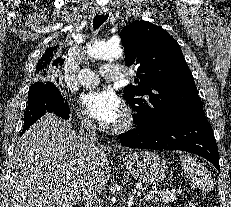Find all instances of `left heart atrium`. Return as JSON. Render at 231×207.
<instances>
[{"label":"left heart atrium","instance_id":"obj_1","mask_svg":"<svg viewBox=\"0 0 231 207\" xmlns=\"http://www.w3.org/2000/svg\"><path fill=\"white\" fill-rule=\"evenodd\" d=\"M81 103L87 113L102 124L118 122L124 113L120 97L111 90L95 89L81 96Z\"/></svg>","mask_w":231,"mask_h":207}]
</instances>
